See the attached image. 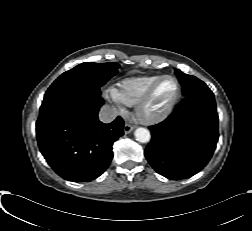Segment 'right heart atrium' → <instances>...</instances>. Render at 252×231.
<instances>
[{
	"label": "right heart atrium",
	"instance_id": "right-heart-atrium-1",
	"mask_svg": "<svg viewBox=\"0 0 252 231\" xmlns=\"http://www.w3.org/2000/svg\"><path fill=\"white\" fill-rule=\"evenodd\" d=\"M108 96L110 99L114 102V104L120 109L123 110V104L122 102L118 99L115 90H110L108 93Z\"/></svg>",
	"mask_w": 252,
	"mask_h": 231
}]
</instances>
